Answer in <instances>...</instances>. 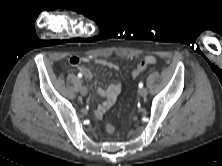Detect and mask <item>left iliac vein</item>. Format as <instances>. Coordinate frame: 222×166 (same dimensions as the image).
<instances>
[{
    "instance_id": "1",
    "label": "left iliac vein",
    "mask_w": 222,
    "mask_h": 166,
    "mask_svg": "<svg viewBox=\"0 0 222 166\" xmlns=\"http://www.w3.org/2000/svg\"><path fill=\"white\" fill-rule=\"evenodd\" d=\"M139 94L140 96L145 97L148 94V90L146 88H141Z\"/></svg>"
}]
</instances>
